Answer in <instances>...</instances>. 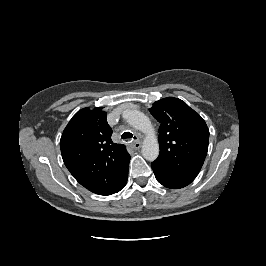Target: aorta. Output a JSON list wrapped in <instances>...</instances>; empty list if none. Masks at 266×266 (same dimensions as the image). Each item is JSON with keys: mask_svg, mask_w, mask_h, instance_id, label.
<instances>
[{"mask_svg": "<svg viewBox=\"0 0 266 266\" xmlns=\"http://www.w3.org/2000/svg\"><path fill=\"white\" fill-rule=\"evenodd\" d=\"M125 118L133 128L145 134L141 152L146 160L154 161L159 155V144L150 119L138 110L127 111Z\"/></svg>", "mask_w": 266, "mask_h": 266, "instance_id": "obj_1", "label": "aorta"}]
</instances>
